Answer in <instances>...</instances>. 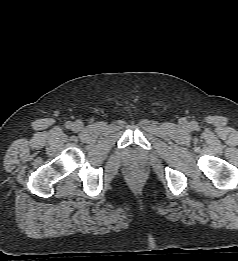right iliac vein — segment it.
I'll use <instances>...</instances> for the list:
<instances>
[{
	"instance_id": "obj_1",
	"label": "right iliac vein",
	"mask_w": 238,
	"mask_h": 261,
	"mask_svg": "<svg viewBox=\"0 0 238 261\" xmlns=\"http://www.w3.org/2000/svg\"><path fill=\"white\" fill-rule=\"evenodd\" d=\"M82 123L80 122V121H76L74 124H73V129L75 130V131H79V130H81L82 129Z\"/></svg>"
}]
</instances>
